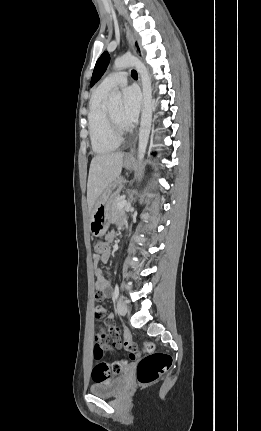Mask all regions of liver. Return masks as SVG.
Wrapping results in <instances>:
<instances>
[{
  "mask_svg": "<svg viewBox=\"0 0 261 431\" xmlns=\"http://www.w3.org/2000/svg\"><path fill=\"white\" fill-rule=\"evenodd\" d=\"M123 152L95 156L90 164L87 183L89 212L102 193L120 176L123 166Z\"/></svg>",
  "mask_w": 261,
  "mask_h": 431,
  "instance_id": "obj_1",
  "label": "liver"
}]
</instances>
